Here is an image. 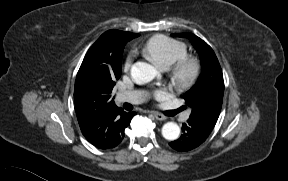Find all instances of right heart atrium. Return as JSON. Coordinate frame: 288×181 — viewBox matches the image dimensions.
<instances>
[{
  "instance_id": "1",
  "label": "right heart atrium",
  "mask_w": 288,
  "mask_h": 181,
  "mask_svg": "<svg viewBox=\"0 0 288 181\" xmlns=\"http://www.w3.org/2000/svg\"><path fill=\"white\" fill-rule=\"evenodd\" d=\"M132 61H133L132 54L127 55L125 62H124V69L125 70H129L131 68Z\"/></svg>"
}]
</instances>
